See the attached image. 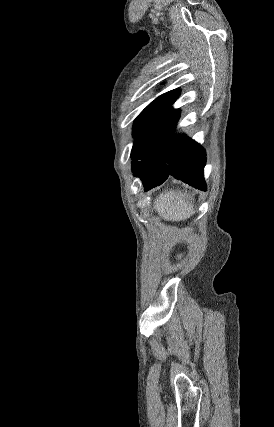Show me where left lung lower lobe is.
Returning a JSON list of instances; mask_svg holds the SVG:
<instances>
[{
    "label": "left lung lower lobe",
    "mask_w": 274,
    "mask_h": 427,
    "mask_svg": "<svg viewBox=\"0 0 274 427\" xmlns=\"http://www.w3.org/2000/svg\"><path fill=\"white\" fill-rule=\"evenodd\" d=\"M179 110L169 109L143 138L133 174L139 176L145 191L162 184L169 175L206 190L203 169L204 149L185 135H174ZM140 160V161H138Z\"/></svg>",
    "instance_id": "0a47b994"
}]
</instances>
